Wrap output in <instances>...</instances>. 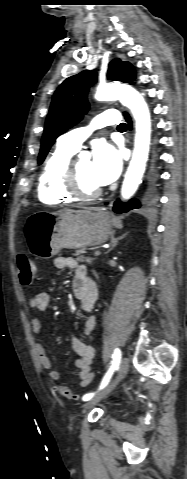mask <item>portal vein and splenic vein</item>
<instances>
[{"label":"portal vein and splenic vein","mask_w":187,"mask_h":479,"mask_svg":"<svg viewBox=\"0 0 187 479\" xmlns=\"http://www.w3.org/2000/svg\"><path fill=\"white\" fill-rule=\"evenodd\" d=\"M100 254H101V253H100L99 251H96V252L94 253L95 256H100Z\"/></svg>","instance_id":"obj_1"}]
</instances>
